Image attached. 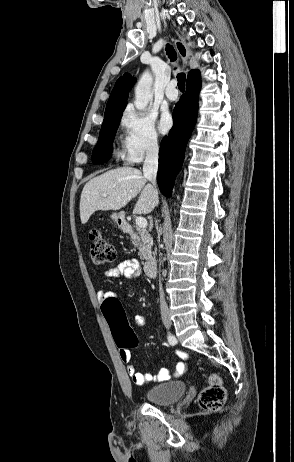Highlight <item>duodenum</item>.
Segmentation results:
<instances>
[{
  "mask_svg": "<svg viewBox=\"0 0 294 462\" xmlns=\"http://www.w3.org/2000/svg\"><path fill=\"white\" fill-rule=\"evenodd\" d=\"M120 227L123 231L131 233L133 231L132 227L126 222L124 217L120 216L118 218ZM144 271L146 276L148 277H154L156 276L157 273V264L154 259H148L145 261L144 264Z\"/></svg>",
  "mask_w": 294,
  "mask_h": 462,
  "instance_id": "1",
  "label": "duodenum"
}]
</instances>
